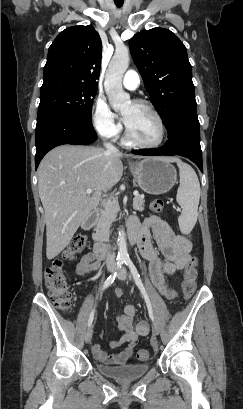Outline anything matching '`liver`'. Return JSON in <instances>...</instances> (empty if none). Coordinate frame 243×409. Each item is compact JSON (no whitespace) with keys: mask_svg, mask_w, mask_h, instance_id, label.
I'll list each match as a JSON object with an SVG mask.
<instances>
[{"mask_svg":"<svg viewBox=\"0 0 243 409\" xmlns=\"http://www.w3.org/2000/svg\"><path fill=\"white\" fill-rule=\"evenodd\" d=\"M120 152L99 147L61 145L48 152L38 167V191L45 211L46 256L54 259L100 201L101 193L122 177ZM140 158L139 156H133ZM92 195H84L87 189Z\"/></svg>","mask_w":243,"mask_h":409,"instance_id":"liver-1","label":"liver"}]
</instances>
